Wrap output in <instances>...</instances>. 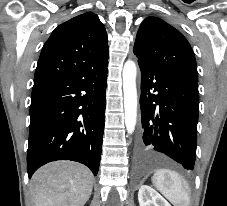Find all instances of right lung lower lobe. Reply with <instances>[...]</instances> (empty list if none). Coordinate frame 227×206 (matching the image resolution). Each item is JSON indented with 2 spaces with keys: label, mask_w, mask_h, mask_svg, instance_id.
Returning a JSON list of instances; mask_svg holds the SVG:
<instances>
[{
  "label": "right lung lower lobe",
  "mask_w": 227,
  "mask_h": 206,
  "mask_svg": "<svg viewBox=\"0 0 227 206\" xmlns=\"http://www.w3.org/2000/svg\"><path fill=\"white\" fill-rule=\"evenodd\" d=\"M108 61L34 83L28 176L55 160H72L97 175L104 132Z\"/></svg>",
  "instance_id": "obj_1"
}]
</instances>
